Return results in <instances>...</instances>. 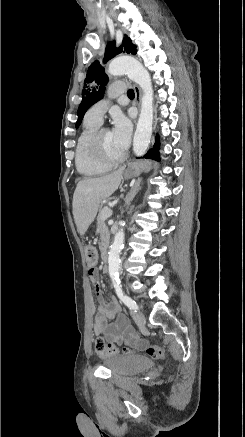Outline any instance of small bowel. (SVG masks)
I'll return each mask as SVG.
<instances>
[{
  "label": "small bowel",
  "mask_w": 245,
  "mask_h": 437,
  "mask_svg": "<svg viewBox=\"0 0 245 437\" xmlns=\"http://www.w3.org/2000/svg\"><path fill=\"white\" fill-rule=\"evenodd\" d=\"M89 275L91 282L96 287V297L98 300L93 332L96 335H103L110 341L126 343L138 348L143 347L145 342L136 335L130 326L129 320L122 313L118 301L112 297L110 302H105L99 283L98 271L95 270Z\"/></svg>",
  "instance_id": "1"
}]
</instances>
